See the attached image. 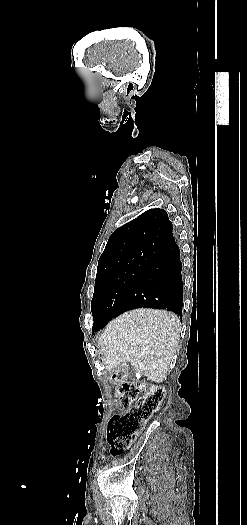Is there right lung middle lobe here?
<instances>
[{
  "label": "right lung middle lobe",
  "mask_w": 247,
  "mask_h": 525,
  "mask_svg": "<svg viewBox=\"0 0 247 525\" xmlns=\"http://www.w3.org/2000/svg\"><path fill=\"white\" fill-rule=\"evenodd\" d=\"M152 256L138 260L133 266L113 271L97 272L91 311L93 327L105 326L117 316V309L135 281L149 265Z\"/></svg>",
  "instance_id": "right-lung-middle-lobe-1"
}]
</instances>
